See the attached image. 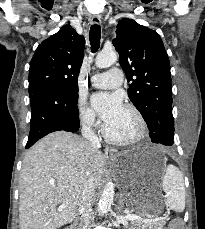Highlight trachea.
Masks as SVG:
<instances>
[{
  "mask_svg": "<svg viewBox=\"0 0 205 229\" xmlns=\"http://www.w3.org/2000/svg\"><path fill=\"white\" fill-rule=\"evenodd\" d=\"M101 28L99 25L94 24L90 28L89 40L92 52L95 53L100 47Z\"/></svg>",
  "mask_w": 205,
  "mask_h": 229,
  "instance_id": "trachea-1",
  "label": "trachea"
}]
</instances>
